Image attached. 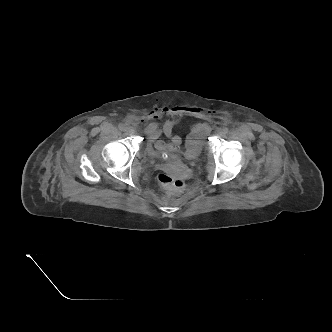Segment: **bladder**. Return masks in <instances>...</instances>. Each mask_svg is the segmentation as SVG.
<instances>
[{
	"mask_svg": "<svg viewBox=\"0 0 332 332\" xmlns=\"http://www.w3.org/2000/svg\"><path fill=\"white\" fill-rule=\"evenodd\" d=\"M201 153H202V145L196 148H190L185 145L184 149L182 150V156L189 161L198 159Z\"/></svg>",
	"mask_w": 332,
	"mask_h": 332,
	"instance_id": "bladder-1",
	"label": "bladder"
}]
</instances>
